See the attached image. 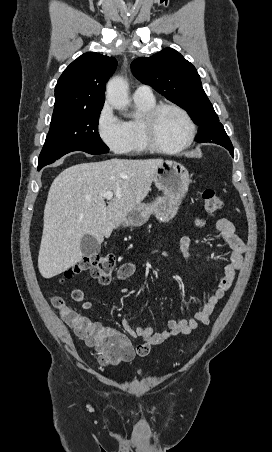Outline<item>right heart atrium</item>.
Returning a JSON list of instances; mask_svg holds the SVG:
<instances>
[{"label": "right heart atrium", "instance_id": "1", "mask_svg": "<svg viewBox=\"0 0 272 452\" xmlns=\"http://www.w3.org/2000/svg\"><path fill=\"white\" fill-rule=\"evenodd\" d=\"M96 130L101 141L113 152H123L126 145L124 122L113 112L109 103H105L96 119Z\"/></svg>", "mask_w": 272, "mask_h": 452}]
</instances>
